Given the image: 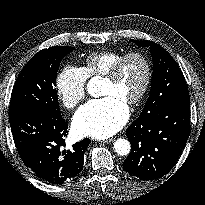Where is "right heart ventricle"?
<instances>
[{
	"mask_svg": "<svg viewBox=\"0 0 205 205\" xmlns=\"http://www.w3.org/2000/svg\"><path fill=\"white\" fill-rule=\"evenodd\" d=\"M123 55V53L113 51L91 53L85 58L81 69L86 78L102 77Z\"/></svg>",
	"mask_w": 205,
	"mask_h": 205,
	"instance_id": "right-heart-ventricle-1",
	"label": "right heart ventricle"
}]
</instances>
